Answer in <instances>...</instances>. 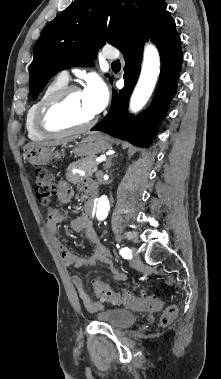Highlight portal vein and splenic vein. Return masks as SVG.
Wrapping results in <instances>:
<instances>
[{"mask_svg": "<svg viewBox=\"0 0 221 379\" xmlns=\"http://www.w3.org/2000/svg\"><path fill=\"white\" fill-rule=\"evenodd\" d=\"M96 162H97V163H100V162H101V160H96ZM95 170H97V167H96V168H94V171H95Z\"/></svg>", "mask_w": 221, "mask_h": 379, "instance_id": "18ae733b", "label": "portal vein and splenic vein"}]
</instances>
